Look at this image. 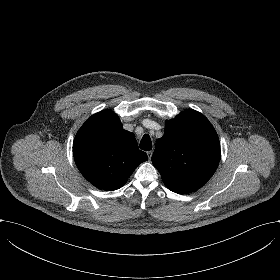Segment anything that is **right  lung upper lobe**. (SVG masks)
Returning a JSON list of instances; mask_svg holds the SVG:
<instances>
[{"instance_id": "right-lung-upper-lobe-1", "label": "right lung upper lobe", "mask_w": 280, "mask_h": 280, "mask_svg": "<svg viewBox=\"0 0 280 280\" xmlns=\"http://www.w3.org/2000/svg\"><path fill=\"white\" fill-rule=\"evenodd\" d=\"M75 163L86 180L99 189L122 187L135 168L147 160L135 135L122 128L111 110L91 116L79 129L74 143Z\"/></svg>"}]
</instances>
